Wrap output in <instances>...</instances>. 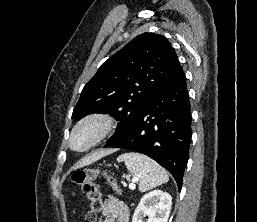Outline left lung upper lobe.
Instances as JSON below:
<instances>
[{
	"label": "left lung upper lobe",
	"instance_id": "left-lung-upper-lobe-1",
	"mask_svg": "<svg viewBox=\"0 0 257 222\" xmlns=\"http://www.w3.org/2000/svg\"><path fill=\"white\" fill-rule=\"evenodd\" d=\"M180 68L177 55L162 35L143 33L106 60L84 86L72 118L109 113L119 121L113 140Z\"/></svg>",
	"mask_w": 257,
	"mask_h": 222
}]
</instances>
